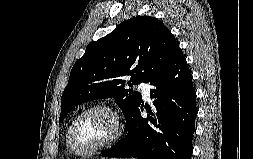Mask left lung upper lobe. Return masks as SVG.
<instances>
[{
  "label": "left lung upper lobe",
  "mask_w": 253,
  "mask_h": 159,
  "mask_svg": "<svg viewBox=\"0 0 253 159\" xmlns=\"http://www.w3.org/2000/svg\"><path fill=\"white\" fill-rule=\"evenodd\" d=\"M180 50L164 24L138 16L120 23L109 35L90 43L73 66L61 99L59 122L78 104L114 97L126 120L141 103L139 92L126 90L159 73Z\"/></svg>",
  "instance_id": "left-lung-upper-lobe-1"
}]
</instances>
